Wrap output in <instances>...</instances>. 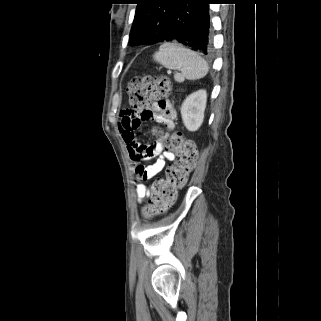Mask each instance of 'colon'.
Segmentation results:
<instances>
[{"mask_svg": "<svg viewBox=\"0 0 321 321\" xmlns=\"http://www.w3.org/2000/svg\"><path fill=\"white\" fill-rule=\"evenodd\" d=\"M170 90V82L166 77H135L127 86L130 107L132 111L146 109L168 95ZM168 147L175 152L177 159L175 164L168 168L166 179L154 183L151 199L143 211L147 217L161 214L175 203L178 191L184 187L189 173L197 163L196 145L185 139L181 133L171 136Z\"/></svg>", "mask_w": 321, "mask_h": 321, "instance_id": "obj_1", "label": "colon"}]
</instances>
